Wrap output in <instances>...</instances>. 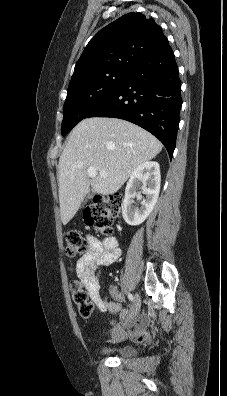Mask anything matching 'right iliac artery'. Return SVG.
Returning <instances> with one entry per match:
<instances>
[{"instance_id":"82829eb1","label":"right iliac artery","mask_w":227,"mask_h":396,"mask_svg":"<svg viewBox=\"0 0 227 396\" xmlns=\"http://www.w3.org/2000/svg\"><path fill=\"white\" fill-rule=\"evenodd\" d=\"M128 299L132 302L134 300V297L131 293L128 294Z\"/></svg>"}]
</instances>
